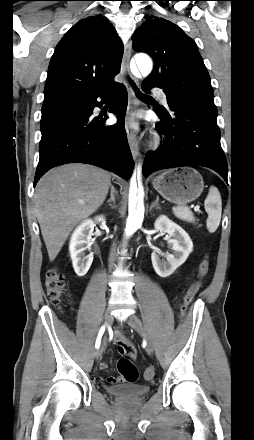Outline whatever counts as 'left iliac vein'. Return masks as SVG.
<instances>
[{
  "instance_id": "4c4485c4",
  "label": "left iliac vein",
  "mask_w": 254,
  "mask_h": 440,
  "mask_svg": "<svg viewBox=\"0 0 254 440\" xmlns=\"http://www.w3.org/2000/svg\"><path fill=\"white\" fill-rule=\"evenodd\" d=\"M126 322L129 326H131L133 329H135L140 335H142L145 338L148 351L153 352L154 345L151 339L149 338V336L147 335V332L143 327V325L141 324V322L134 315L128 316Z\"/></svg>"
}]
</instances>
